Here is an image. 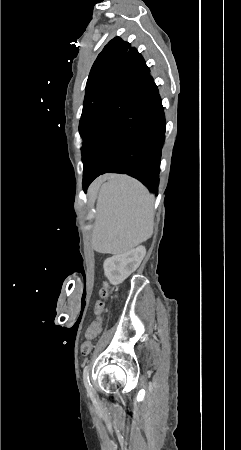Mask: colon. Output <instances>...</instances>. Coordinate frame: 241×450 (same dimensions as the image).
Wrapping results in <instances>:
<instances>
[{"mask_svg":"<svg viewBox=\"0 0 241 450\" xmlns=\"http://www.w3.org/2000/svg\"><path fill=\"white\" fill-rule=\"evenodd\" d=\"M109 295V290L107 287H105L101 293H100V299L97 302H105L107 299V296ZM103 305L101 303H98L93 307V312L95 314H100L102 312ZM101 322L100 321H90L88 330L90 332H93L94 330H100L101 329ZM94 350V347L90 341H85L83 343V347L80 349V352L82 356H88L91 354Z\"/></svg>","mask_w":241,"mask_h":450,"instance_id":"1","label":"colon"}]
</instances>
